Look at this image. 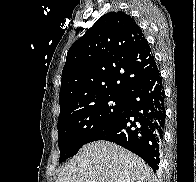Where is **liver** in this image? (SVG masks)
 I'll return each mask as SVG.
<instances>
[{
    "instance_id": "obj_1",
    "label": "liver",
    "mask_w": 196,
    "mask_h": 182,
    "mask_svg": "<svg viewBox=\"0 0 196 182\" xmlns=\"http://www.w3.org/2000/svg\"><path fill=\"white\" fill-rule=\"evenodd\" d=\"M56 182H154V175L137 155L114 143L95 141L80 149Z\"/></svg>"
}]
</instances>
